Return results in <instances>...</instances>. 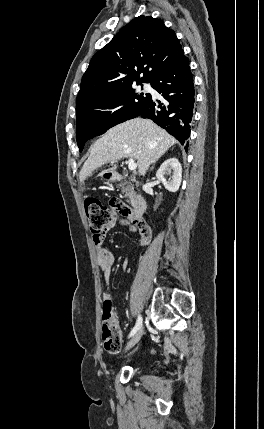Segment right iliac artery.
Returning a JSON list of instances; mask_svg holds the SVG:
<instances>
[{
  "label": "right iliac artery",
  "instance_id": "obj_1",
  "mask_svg": "<svg viewBox=\"0 0 264 429\" xmlns=\"http://www.w3.org/2000/svg\"><path fill=\"white\" fill-rule=\"evenodd\" d=\"M141 325H142V317L139 315L134 328L129 334V337L133 336L137 332V330L141 327Z\"/></svg>",
  "mask_w": 264,
  "mask_h": 429
}]
</instances>
